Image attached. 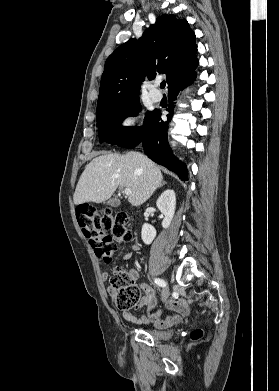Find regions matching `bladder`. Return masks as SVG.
Segmentation results:
<instances>
[{
    "label": "bladder",
    "mask_w": 279,
    "mask_h": 391,
    "mask_svg": "<svg viewBox=\"0 0 279 391\" xmlns=\"http://www.w3.org/2000/svg\"><path fill=\"white\" fill-rule=\"evenodd\" d=\"M147 333L150 337L157 340H166L171 336L170 332L159 329H151L148 330Z\"/></svg>",
    "instance_id": "31cf9c89"
}]
</instances>
